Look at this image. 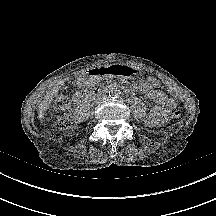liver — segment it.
<instances>
[{"label":"liver","instance_id":"obj_1","mask_svg":"<svg viewBox=\"0 0 216 216\" xmlns=\"http://www.w3.org/2000/svg\"><path fill=\"white\" fill-rule=\"evenodd\" d=\"M58 90H59V85L54 86L51 91L46 93L44 99L40 103L38 108V118L40 119L41 123L43 122L45 112L47 111L51 101L53 100Z\"/></svg>","mask_w":216,"mask_h":216}]
</instances>
